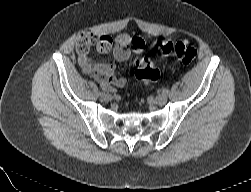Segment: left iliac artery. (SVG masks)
Listing matches in <instances>:
<instances>
[{
    "mask_svg": "<svg viewBox=\"0 0 251 192\" xmlns=\"http://www.w3.org/2000/svg\"><path fill=\"white\" fill-rule=\"evenodd\" d=\"M162 93H163V94H168V93H169V90L166 89V88H164V89L162 90Z\"/></svg>",
    "mask_w": 251,
    "mask_h": 192,
    "instance_id": "obj_1",
    "label": "left iliac artery"
}]
</instances>
